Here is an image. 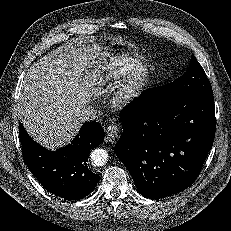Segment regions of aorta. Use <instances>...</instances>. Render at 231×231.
<instances>
[{
	"label": "aorta",
	"instance_id": "aorta-1",
	"mask_svg": "<svg viewBox=\"0 0 231 231\" xmlns=\"http://www.w3.org/2000/svg\"><path fill=\"white\" fill-rule=\"evenodd\" d=\"M91 161L95 166H103L108 160V152L102 148H97L91 152Z\"/></svg>",
	"mask_w": 231,
	"mask_h": 231
}]
</instances>
